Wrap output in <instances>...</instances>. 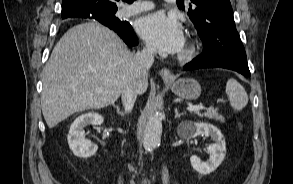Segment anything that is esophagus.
<instances>
[{
  "instance_id": "esophagus-1",
  "label": "esophagus",
  "mask_w": 293,
  "mask_h": 184,
  "mask_svg": "<svg viewBox=\"0 0 293 184\" xmlns=\"http://www.w3.org/2000/svg\"><path fill=\"white\" fill-rule=\"evenodd\" d=\"M159 74L163 80H171L172 79V74H171L170 70L167 68H162L160 70Z\"/></svg>"
}]
</instances>
